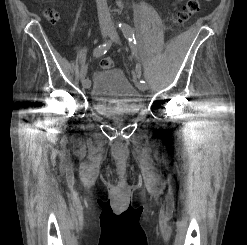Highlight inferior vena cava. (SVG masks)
<instances>
[{
    "instance_id": "1",
    "label": "inferior vena cava",
    "mask_w": 247,
    "mask_h": 245,
    "mask_svg": "<svg viewBox=\"0 0 247 245\" xmlns=\"http://www.w3.org/2000/svg\"><path fill=\"white\" fill-rule=\"evenodd\" d=\"M98 18L101 27H110V14L107 6V0H96Z\"/></svg>"
}]
</instances>
